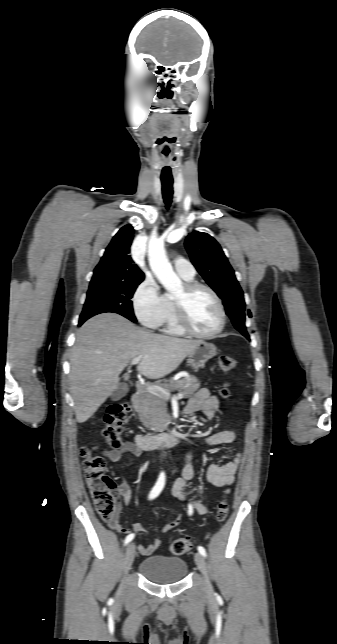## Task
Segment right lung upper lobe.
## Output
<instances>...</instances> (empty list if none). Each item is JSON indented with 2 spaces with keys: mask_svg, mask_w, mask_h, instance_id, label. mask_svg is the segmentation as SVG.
Returning <instances> with one entry per match:
<instances>
[{
  "mask_svg": "<svg viewBox=\"0 0 337 644\" xmlns=\"http://www.w3.org/2000/svg\"><path fill=\"white\" fill-rule=\"evenodd\" d=\"M133 232L131 225H126L118 231L94 269L90 283L143 281V272L129 255Z\"/></svg>",
  "mask_w": 337,
  "mask_h": 644,
  "instance_id": "cb5924a9",
  "label": "right lung upper lobe"
}]
</instances>
